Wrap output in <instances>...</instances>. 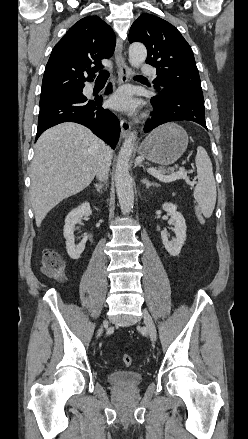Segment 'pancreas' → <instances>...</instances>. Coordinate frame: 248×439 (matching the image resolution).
Returning <instances> with one entry per match:
<instances>
[{"label":"pancreas","instance_id":"1","mask_svg":"<svg viewBox=\"0 0 248 439\" xmlns=\"http://www.w3.org/2000/svg\"><path fill=\"white\" fill-rule=\"evenodd\" d=\"M159 172L162 173V174H165V173L168 172V170L163 169V168H160V169H159ZM172 174H174V173H172Z\"/></svg>","mask_w":248,"mask_h":439}]
</instances>
